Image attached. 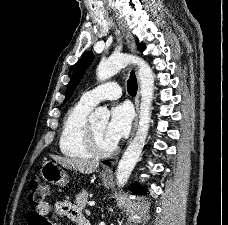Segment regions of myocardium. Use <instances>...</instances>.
Wrapping results in <instances>:
<instances>
[{"label":"myocardium","instance_id":"obj_1","mask_svg":"<svg viewBox=\"0 0 228 225\" xmlns=\"http://www.w3.org/2000/svg\"><path fill=\"white\" fill-rule=\"evenodd\" d=\"M87 140H88L89 146L97 155H109L114 153L118 148L117 144L114 142L109 145L103 144L98 134L96 133L93 125L90 123L87 129Z\"/></svg>","mask_w":228,"mask_h":225}]
</instances>
